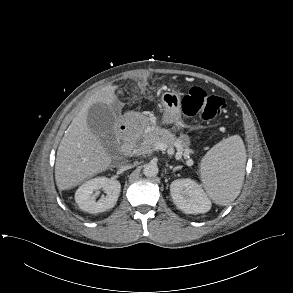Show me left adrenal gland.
<instances>
[{"instance_id":"left-adrenal-gland-1","label":"left adrenal gland","mask_w":293,"mask_h":293,"mask_svg":"<svg viewBox=\"0 0 293 293\" xmlns=\"http://www.w3.org/2000/svg\"><path fill=\"white\" fill-rule=\"evenodd\" d=\"M181 168H182V166L174 167V168H173V172H175V171H177V170H179V169H181Z\"/></svg>"}]
</instances>
